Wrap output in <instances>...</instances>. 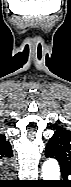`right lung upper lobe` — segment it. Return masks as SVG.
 Returning <instances> with one entry per match:
<instances>
[{
	"instance_id": "cb5924a9",
	"label": "right lung upper lobe",
	"mask_w": 71,
	"mask_h": 187,
	"mask_svg": "<svg viewBox=\"0 0 71 187\" xmlns=\"http://www.w3.org/2000/svg\"><path fill=\"white\" fill-rule=\"evenodd\" d=\"M12 156L13 153L10 142L6 139L5 135L0 134V157L11 158Z\"/></svg>"
}]
</instances>
